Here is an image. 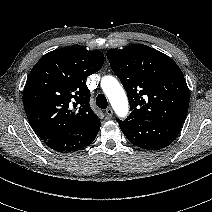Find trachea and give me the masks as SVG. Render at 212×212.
Here are the masks:
<instances>
[{"label":"trachea","instance_id":"obj_1","mask_svg":"<svg viewBox=\"0 0 212 212\" xmlns=\"http://www.w3.org/2000/svg\"><path fill=\"white\" fill-rule=\"evenodd\" d=\"M96 104L101 109H106L108 102L104 94H99L96 98Z\"/></svg>","mask_w":212,"mask_h":212}]
</instances>
